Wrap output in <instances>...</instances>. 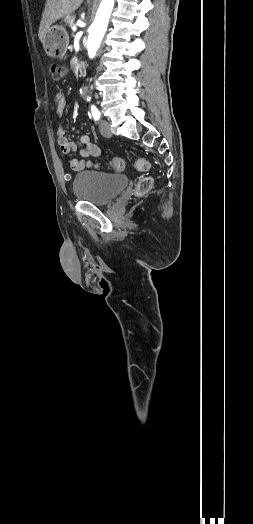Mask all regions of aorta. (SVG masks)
Returning a JSON list of instances; mask_svg holds the SVG:
<instances>
[{"label": "aorta", "mask_w": 253, "mask_h": 524, "mask_svg": "<svg viewBox=\"0 0 253 524\" xmlns=\"http://www.w3.org/2000/svg\"><path fill=\"white\" fill-rule=\"evenodd\" d=\"M115 0H102L94 22L89 28L87 51L90 58L95 57L103 36L107 30Z\"/></svg>", "instance_id": "762f6f07"}]
</instances>
